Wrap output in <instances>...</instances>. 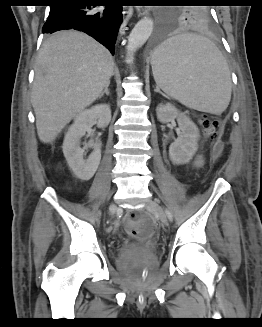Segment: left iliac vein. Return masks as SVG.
I'll use <instances>...</instances> for the list:
<instances>
[{
  "instance_id": "left-iliac-vein-1",
  "label": "left iliac vein",
  "mask_w": 262,
  "mask_h": 327,
  "mask_svg": "<svg viewBox=\"0 0 262 327\" xmlns=\"http://www.w3.org/2000/svg\"><path fill=\"white\" fill-rule=\"evenodd\" d=\"M147 209L151 212H154L158 216V218L162 224H164V225L168 224V219H167L165 212L163 211L161 206L156 201H153V200L148 201Z\"/></svg>"
}]
</instances>
